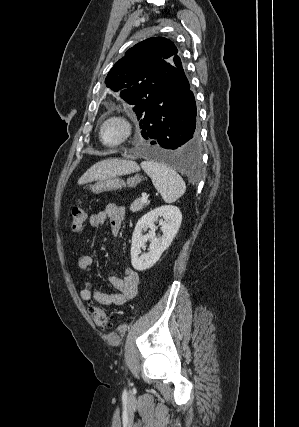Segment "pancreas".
Here are the masks:
<instances>
[{"mask_svg":"<svg viewBox=\"0 0 299 427\" xmlns=\"http://www.w3.org/2000/svg\"><path fill=\"white\" fill-rule=\"evenodd\" d=\"M148 205V202H142L140 198L136 199L130 206V210L132 212H138L141 211L143 208H145Z\"/></svg>","mask_w":299,"mask_h":427,"instance_id":"cf45deb5","label":"pancreas"}]
</instances>
